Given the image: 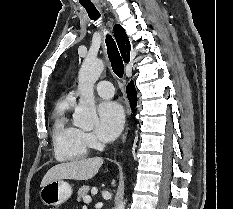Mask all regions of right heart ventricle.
I'll use <instances>...</instances> for the list:
<instances>
[{
    "label": "right heart ventricle",
    "mask_w": 233,
    "mask_h": 209,
    "mask_svg": "<svg viewBox=\"0 0 233 209\" xmlns=\"http://www.w3.org/2000/svg\"><path fill=\"white\" fill-rule=\"evenodd\" d=\"M71 95L61 97L53 110L52 139L54 154L59 161H75L88 155V146L83 142L80 130L68 118L74 105Z\"/></svg>",
    "instance_id": "obj_1"
}]
</instances>
